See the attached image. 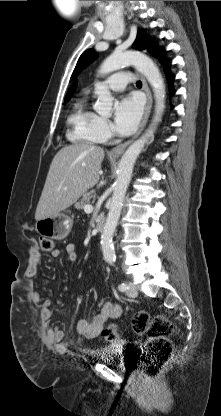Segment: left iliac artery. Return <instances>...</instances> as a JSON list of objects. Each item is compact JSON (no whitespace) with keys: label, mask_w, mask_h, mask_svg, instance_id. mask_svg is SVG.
Listing matches in <instances>:
<instances>
[{"label":"left iliac artery","mask_w":221,"mask_h":416,"mask_svg":"<svg viewBox=\"0 0 221 416\" xmlns=\"http://www.w3.org/2000/svg\"><path fill=\"white\" fill-rule=\"evenodd\" d=\"M118 289H119V291L124 292V291H126V289H128V286L125 283H121L118 286Z\"/></svg>","instance_id":"44dca946"}]
</instances>
